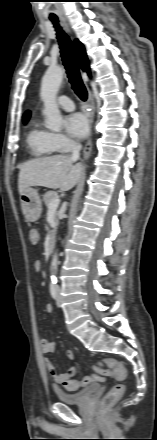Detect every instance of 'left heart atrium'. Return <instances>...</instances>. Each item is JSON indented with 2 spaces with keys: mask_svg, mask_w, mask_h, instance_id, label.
Returning a JSON list of instances; mask_svg holds the SVG:
<instances>
[{
  "mask_svg": "<svg viewBox=\"0 0 157 440\" xmlns=\"http://www.w3.org/2000/svg\"><path fill=\"white\" fill-rule=\"evenodd\" d=\"M65 129L70 137L81 140L88 135L89 124L82 114H70L65 118Z\"/></svg>",
  "mask_w": 157,
  "mask_h": 440,
  "instance_id": "39dd6f15",
  "label": "left heart atrium"
}]
</instances>
